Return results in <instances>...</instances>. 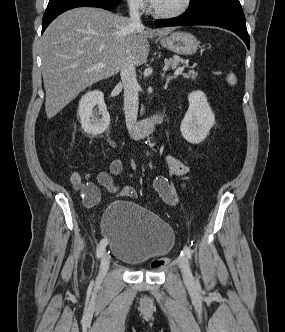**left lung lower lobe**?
<instances>
[{"label": "left lung lower lobe", "mask_w": 285, "mask_h": 332, "mask_svg": "<svg viewBox=\"0 0 285 332\" xmlns=\"http://www.w3.org/2000/svg\"><path fill=\"white\" fill-rule=\"evenodd\" d=\"M158 27L183 25H212L228 29L237 34L250 48L245 16L238 0H222L197 9L188 10L171 20H157Z\"/></svg>", "instance_id": "0a47b994"}]
</instances>
